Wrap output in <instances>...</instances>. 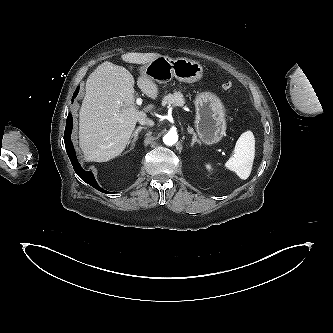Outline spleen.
<instances>
[{
    "instance_id": "1",
    "label": "spleen",
    "mask_w": 333,
    "mask_h": 333,
    "mask_svg": "<svg viewBox=\"0 0 333 333\" xmlns=\"http://www.w3.org/2000/svg\"><path fill=\"white\" fill-rule=\"evenodd\" d=\"M255 156V140L251 131L244 132L236 142L233 155L225 163V167L246 180L252 170Z\"/></svg>"
}]
</instances>
